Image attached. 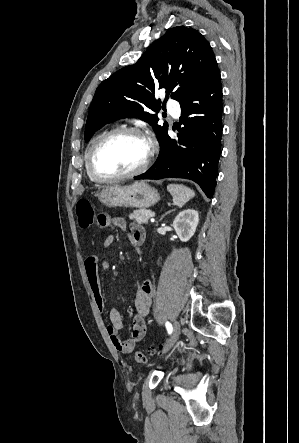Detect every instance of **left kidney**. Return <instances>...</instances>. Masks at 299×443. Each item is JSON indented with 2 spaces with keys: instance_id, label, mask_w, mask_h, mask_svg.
<instances>
[{
  "instance_id": "5707ae66",
  "label": "left kidney",
  "mask_w": 299,
  "mask_h": 443,
  "mask_svg": "<svg viewBox=\"0 0 299 443\" xmlns=\"http://www.w3.org/2000/svg\"><path fill=\"white\" fill-rule=\"evenodd\" d=\"M199 223L196 210L187 209L180 212L173 221V228L182 242H187L194 235Z\"/></svg>"
}]
</instances>
